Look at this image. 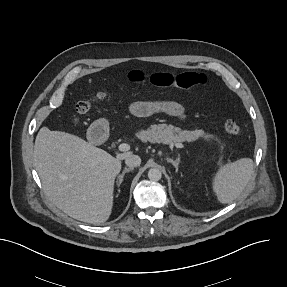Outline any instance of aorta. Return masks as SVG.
I'll use <instances>...</instances> for the list:
<instances>
[{"mask_svg": "<svg viewBox=\"0 0 287 287\" xmlns=\"http://www.w3.org/2000/svg\"><path fill=\"white\" fill-rule=\"evenodd\" d=\"M162 177V173L158 168H151L148 171V178L151 181H159Z\"/></svg>", "mask_w": 287, "mask_h": 287, "instance_id": "762f6f07", "label": "aorta"}]
</instances>
